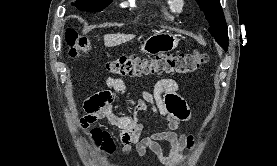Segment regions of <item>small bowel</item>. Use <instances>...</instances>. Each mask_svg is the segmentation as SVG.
Masks as SVG:
<instances>
[{
    "label": "small bowel",
    "instance_id": "c3829d8e",
    "mask_svg": "<svg viewBox=\"0 0 277 166\" xmlns=\"http://www.w3.org/2000/svg\"><path fill=\"white\" fill-rule=\"evenodd\" d=\"M107 89L97 92L84 102L85 116L81 119L84 128L96 121L107 119L108 122L119 130V139L123 145V152L129 155L132 148L142 157L147 158L151 153L161 164L175 166L182 162L185 149H193V137L185 133H177L180 124L190 119V110L185 101L178 95V85L173 79L165 78L158 81L152 93L141 92V98H129V114H117L112 111L117 93L129 97L125 82L119 78L104 80ZM150 112L157 120L162 121L164 131L154 132L142 136L146 119L142 113ZM167 142L171 150L168 155L163 153L160 142ZM93 147L99 151L102 160L108 166L112 163V154L115 151L113 136L105 130L95 128L92 130Z\"/></svg>",
    "mask_w": 277,
    "mask_h": 166
}]
</instances>
